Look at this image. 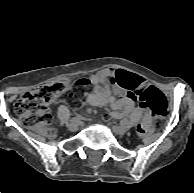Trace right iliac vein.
Listing matches in <instances>:
<instances>
[{"label": "right iliac vein", "instance_id": "63e3f726", "mask_svg": "<svg viewBox=\"0 0 194 193\" xmlns=\"http://www.w3.org/2000/svg\"><path fill=\"white\" fill-rule=\"evenodd\" d=\"M80 124V121L77 122H70L67 127L70 131H76L78 129V126Z\"/></svg>", "mask_w": 194, "mask_h": 193}]
</instances>
